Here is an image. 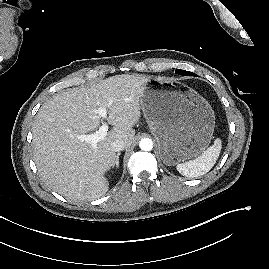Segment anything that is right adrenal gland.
<instances>
[{
	"mask_svg": "<svg viewBox=\"0 0 269 269\" xmlns=\"http://www.w3.org/2000/svg\"><path fill=\"white\" fill-rule=\"evenodd\" d=\"M120 152H118L117 153V155H116V161H115V164L113 165V167L112 168H116V170L119 168V156H120Z\"/></svg>",
	"mask_w": 269,
	"mask_h": 269,
	"instance_id": "obj_1",
	"label": "right adrenal gland"
}]
</instances>
